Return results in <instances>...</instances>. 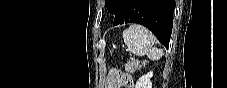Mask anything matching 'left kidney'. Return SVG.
Here are the masks:
<instances>
[{"label":"left kidney","instance_id":"obj_1","mask_svg":"<svg viewBox=\"0 0 227 88\" xmlns=\"http://www.w3.org/2000/svg\"><path fill=\"white\" fill-rule=\"evenodd\" d=\"M153 76V72L150 71L147 74L141 76L136 82L135 88H152L150 78Z\"/></svg>","mask_w":227,"mask_h":88}]
</instances>
